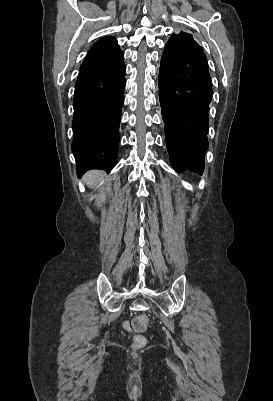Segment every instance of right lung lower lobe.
I'll return each mask as SVG.
<instances>
[{
    "label": "right lung lower lobe",
    "mask_w": 273,
    "mask_h": 401,
    "mask_svg": "<svg viewBox=\"0 0 273 401\" xmlns=\"http://www.w3.org/2000/svg\"><path fill=\"white\" fill-rule=\"evenodd\" d=\"M124 89L123 58L107 68L77 78L72 152L79 177L87 170H111L115 166Z\"/></svg>",
    "instance_id": "right-lung-lower-lobe-1"
}]
</instances>
